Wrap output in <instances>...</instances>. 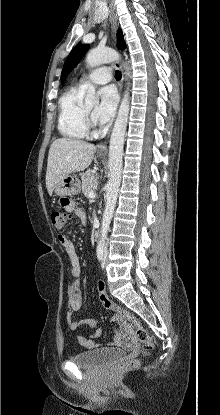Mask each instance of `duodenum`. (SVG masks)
Segmentation results:
<instances>
[{
	"mask_svg": "<svg viewBox=\"0 0 220 415\" xmlns=\"http://www.w3.org/2000/svg\"><path fill=\"white\" fill-rule=\"evenodd\" d=\"M100 234H101L100 227H99V226H97V227L95 228V230H94V236H95L96 238H98V237H100Z\"/></svg>",
	"mask_w": 220,
	"mask_h": 415,
	"instance_id": "410a0bca",
	"label": "duodenum"
}]
</instances>
